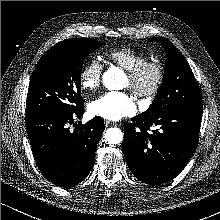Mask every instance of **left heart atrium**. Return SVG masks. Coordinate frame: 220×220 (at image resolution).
<instances>
[{"label":"left heart atrium","mask_w":220,"mask_h":220,"mask_svg":"<svg viewBox=\"0 0 220 220\" xmlns=\"http://www.w3.org/2000/svg\"><path fill=\"white\" fill-rule=\"evenodd\" d=\"M136 109L135 100L124 92H107L89 104L92 115L113 121L134 115Z\"/></svg>","instance_id":"obj_1"}]
</instances>
